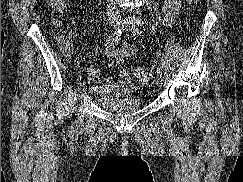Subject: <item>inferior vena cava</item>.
<instances>
[{
  "label": "inferior vena cava",
  "instance_id": "inferior-vena-cava-1",
  "mask_svg": "<svg viewBox=\"0 0 243 182\" xmlns=\"http://www.w3.org/2000/svg\"><path fill=\"white\" fill-rule=\"evenodd\" d=\"M108 1V10L111 14L118 15L119 10L117 9L115 0H107Z\"/></svg>",
  "mask_w": 243,
  "mask_h": 182
}]
</instances>
